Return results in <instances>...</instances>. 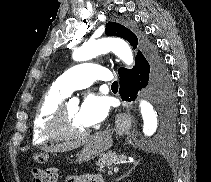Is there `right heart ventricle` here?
<instances>
[{
  "label": "right heart ventricle",
  "mask_w": 211,
  "mask_h": 182,
  "mask_svg": "<svg viewBox=\"0 0 211 182\" xmlns=\"http://www.w3.org/2000/svg\"><path fill=\"white\" fill-rule=\"evenodd\" d=\"M67 97L65 93L52 86L41 98L36 108L32 122V142L34 145H43L55 140L46 133L47 125L56 108Z\"/></svg>",
  "instance_id": "1"
}]
</instances>
